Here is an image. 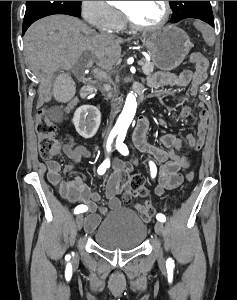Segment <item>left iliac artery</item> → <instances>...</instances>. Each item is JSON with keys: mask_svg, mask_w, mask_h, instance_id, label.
<instances>
[{"mask_svg": "<svg viewBox=\"0 0 237 300\" xmlns=\"http://www.w3.org/2000/svg\"><path fill=\"white\" fill-rule=\"evenodd\" d=\"M125 136H126V132H120L119 133V135L117 137V140H116V149L122 155L126 156V155L129 154V151H128L127 146L123 143V141L125 139ZM149 165H150L151 176H152V178H154L156 176V173H157L156 165L152 161L149 162ZM156 218L160 222H165L166 221V217L161 213L157 214ZM166 267L167 268L174 267V261L171 258L167 259Z\"/></svg>", "mask_w": 237, "mask_h": 300, "instance_id": "obj_1", "label": "left iliac artery"}]
</instances>
